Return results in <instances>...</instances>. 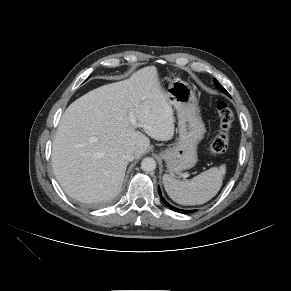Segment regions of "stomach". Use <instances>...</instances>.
I'll use <instances>...</instances> for the list:
<instances>
[{
    "label": "stomach",
    "instance_id": "1",
    "mask_svg": "<svg viewBox=\"0 0 291 291\" xmlns=\"http://www.w3.org/2000/svg\"><path fill=\"white\" fill-rule=\"evenodd\" d=\"M168 100L177 111V142L160 153L171 175L190 169L197 163V145L205 134L199 115L198 101L191 86L184 81L172 82L166 91Z\"/></svg>",
    "mask_w": 291,
    "mask_h": 291
}]
</instances>
